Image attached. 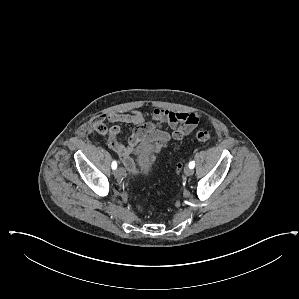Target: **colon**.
I'll list each match as a JSON object with an SVG mask.
<instances>
[{"instance_id":"5ec220e1","label":"colon","mask_w":299,"mask_h":299,"mask_svg":"<svg viewBox=\"0 0 299 299\" xmlns=\"http://www.w3.org/2000/svg\"><path fill=\"white\" fill-rule=\"evenodd\" d=\"M93 129L99 135H106L108 133L107 125L101 119H98L93 123ZM196 138L201 142H209L211 140V134L206 130H198L196 132ZM181 168L182 166L179 165L177 171L180 172Z\"/></svg>"}]
</instances>
